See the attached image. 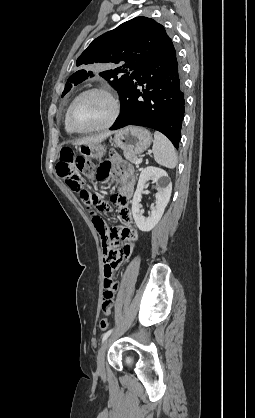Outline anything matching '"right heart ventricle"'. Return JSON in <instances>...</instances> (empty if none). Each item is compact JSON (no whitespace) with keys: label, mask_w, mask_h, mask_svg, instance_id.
<instances>
[{"label":"right heart ventricle","mask_w":255,"mask_h":418,"mask_svg":"<svg viewBox=\"0 0 255 418\" xmlns=\"http://www.w3.org/2000/svg\"><path fill=\"white\" fill-rule=\"evenodd\" d=\"M66 114H67V111H66V113H65V119H64V124H65V130L68 132V133H73V131L68 127V125H67V122H66Z\"/></svg>","instance_id":"e07e8e85"}]
</instances>
